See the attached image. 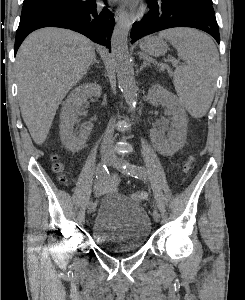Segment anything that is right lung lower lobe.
<instances>
[{"label":"right lung lower lobe","instance_id":"98d812e1","mask_svg":"<svg viewBox=\"0 0 245 300\" xmlns=\"http://www.w3.org/2000/svg\"><path fill=\"white\" fill-rule=\"evenodd\" d=\"M50 26L74 30L110 48L114 17L112 11L106 7L97 9L96 0H87L81 6L65 7L20 20L16 31L15 54L29 33Z\"/></svg>","mask_w":245,"mask_h":300}]
</instances>
